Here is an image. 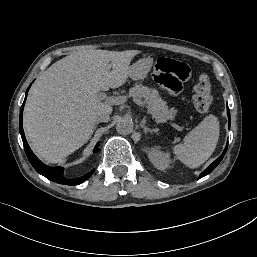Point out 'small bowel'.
Wrapping results in <instances>:
<instances>
[{"label":"small bowel","mask_w":257,"mask_h":257,"mask_svg":"<svg viewBox=\"0 0 257 257\" xmlns=\"http://www.w3.org/2000/svg\"><path fill=\"white\" fill-rule=\"evenodd\" d=\"M150 72L156 89L168 98L181 96L192 78L191 69L186 63L166 56L156 58Z\"/></svg>","instance_id":"c3829d8e"}]
</instances>
